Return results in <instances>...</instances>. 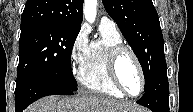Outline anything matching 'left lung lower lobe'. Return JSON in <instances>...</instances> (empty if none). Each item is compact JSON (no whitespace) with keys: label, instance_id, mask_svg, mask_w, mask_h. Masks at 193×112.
Returning a JSON list of instances; mask_svg holds the SVG:
<instances>
[{"label":"left lung lower lobe","instance_id":"0a47b994","mask_svg":"<svg viewBox=\"0 0 193 112\" xmlns=\"http://www.w3.org/2000/svg\"><path fill=\"white\" fill-rule=\"evenodd\" d=\"M137 103L149 108L152 112H169L167 66L157 73Z\"/></svg>","mask_w":193,"mask_h":112}]
</instances>
